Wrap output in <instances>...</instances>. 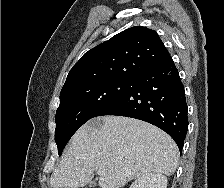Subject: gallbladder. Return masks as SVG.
<instances>
[{
	"instance_id": "obj_1",
	"label": "gallbladder",
	"mask_w": 224,
	"mask_h": 188,
	"mask_svg": "<svg viewBox=\"0 0 224 188\" xmlns=\"http://www.w3.org/2000/svg\"><path fill=\"white\" fill-rule=\"evenodd\" d=\"M90 188H95L96 186V182H90V184L88 185Z\"/></svg>"
}]
</instances>
